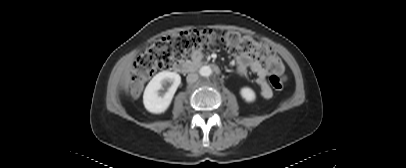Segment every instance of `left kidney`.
<instances>
[{"label":"left kidney","instance_id":"1","mask_svg":"<svg viewBox=\"0 0 406 168\" xmlns=\"http://www.w3.org/2000/svg\"><path fill=\"white\" fill-rule=\"evenodd\" d=\"M240 94L246 102H254L256 99L255 92L249 87L241 88Z\"/></svg>","mask_w":406,"mask_h":168}]
</instances>
